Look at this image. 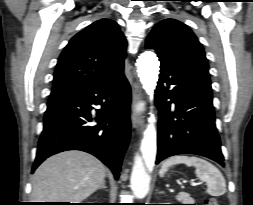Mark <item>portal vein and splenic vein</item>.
Instances as JSON below:
<instances>
[{
  "mask_svg": "<svg viewBox=\"0 0 253 205\" xmlns=\"http://www.w3.org/2000/svg\"><path fill=\"white\" fill-rule=\"evenodd\" d=\"M191 185H192V186H197V185H198V183H196V182H192V183H191Z\"/></svg>",
  "mask_w": 253,
  "mask_h": 205,
  "instance_id": "18ae733b",
  "label": "portal vein and splenic vein"
}]
</instances>
